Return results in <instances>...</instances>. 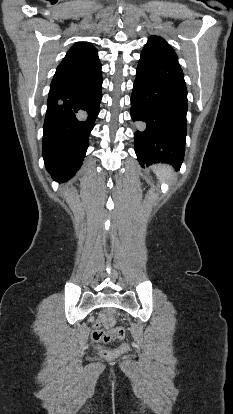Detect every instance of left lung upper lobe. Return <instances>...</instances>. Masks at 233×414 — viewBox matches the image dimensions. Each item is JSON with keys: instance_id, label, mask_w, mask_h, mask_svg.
I'll use <instances>...</instances> for the list:
<instances>
[{"instance_id": "obj_1", "label": "left lung upper lobe", "mask_w": 233, "mask_h": 414, "mask_svg": "<svg viewBox=\"0 0 233 414\" xmlns=\"http://www.w3.org/2000/svg\"><path fill=\"white\" fill-rule=\"evenodd\" d=\"M142 52L152 53L178 63V58L173 48L159 36H151Z\"/></svg>"}]
</instances>
